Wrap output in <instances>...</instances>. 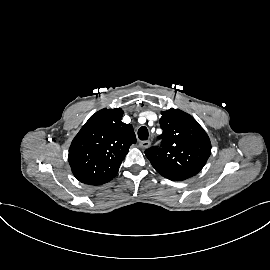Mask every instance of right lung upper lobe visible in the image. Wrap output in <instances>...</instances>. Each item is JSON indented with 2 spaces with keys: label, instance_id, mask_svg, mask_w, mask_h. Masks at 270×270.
Segmentation results:
<instances>
[{
  "label": "right lung upper lobe",
  "instance_id": "right-lung-upper-lobe-1",
  "mask_svg": "<svg viewBox=\"0 0 270 270\" xmlns=\"http://www.w3.org/2000/svg\"><path fill=\"white\" fill-rule=\"evenodd\" d=\"M123 113L120 108L96 112L73 139L68 160L80 182L101 185L118 173L129 147L136 142L132 125L121 121Z\"/></svg>",
  "mask_w": 270,
  "mask_h": 270
}]
</instances>
